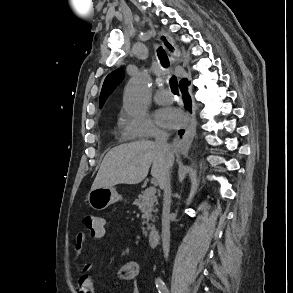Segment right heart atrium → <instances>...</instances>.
Instances as JSON below:
<instances>
[{"label":"right heart atrium","mask_w":293,"mask_h":293,"mask_svg":"<svg viewBox=\"0 0 293 293\" xmlns=\"http://www.w3.org/2000/svg\"><path fill=\"white\" fill-rule=\"evenodd\" d=\"M120 123L127 138H154L165 135V132L148 115L132 116L122 110Z\"/></svg>","instance_id":"obj_1"}]
</instances>
